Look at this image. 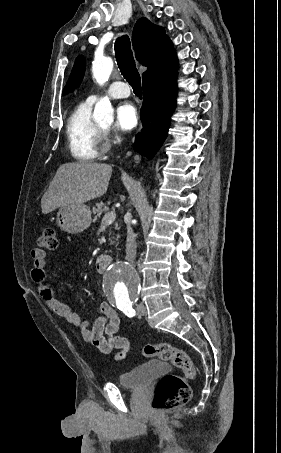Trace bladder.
Masks as SVG:
<instances>
[{
  "label": "bladder",
  "mask_w": 281,
  "mask_h": 453,
  "mask_svg": "<svg viewBox=\"0 0 281 453\" xmlns=\"http://www.w3.org/2000/svg\"><path fill=\"white\" fill-rule=\"evenodd\" d=\"M162 361H151L119 375L118 383L124 388L137 389L147 385L154 378L169 371Z\"/></svg>",
  "instance_id": "bladder-1"
}]
</instances>
